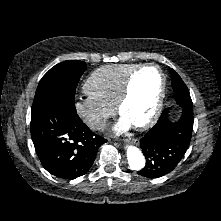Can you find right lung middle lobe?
<instances>
[{
	"label": "right lung middle lobe",
	"instance_id": "dd1d6c3e",
	"mask_svg": "<svg viewBox=\"0 0 221 221\" xmlns=\"http://www.w3.org/2000/svg\"><path fill=\"white\" fill-rule=\"evenodd\" d=\"M85 66L83 61L68 60L52 67L38 84L31 114H35L45 105L56 100L74 101L75 90L80 77L86 70Z\"/></svg>",
	"mask_w": 221,
	"mask_h": 221
}]
</instances>
